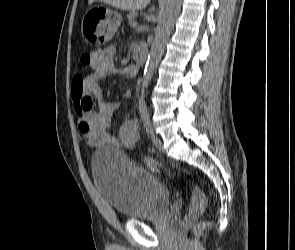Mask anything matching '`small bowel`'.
<instances>
[{
  "instance_id": "1",
  "label": "small bowel",
  "mask_w": 295,
  "mask_h": 250,
  "mask_svg": "<svg viewBox=\"0 0 295 250\" xmlns=\"http://www.w3.org/2000/svg\"><path fill=\"white\" fill-rule=\"evenodd\" d=\"M115 58L116 49L112 46L93 51L89 64L92 71L85 77L76 75L72 81V99L78 116V128L83 135L84 143L89 147L119 143L130 146L136 139V127L132 123H127L121 128L120 140L108 132L112 116L119 108V104L103 99L98 81L119 72L127 77L133 76L136 72L135 66L117 69ZM93 97L97 100L98 110L94 109Z\"/></svg>"
}]
</instances>
